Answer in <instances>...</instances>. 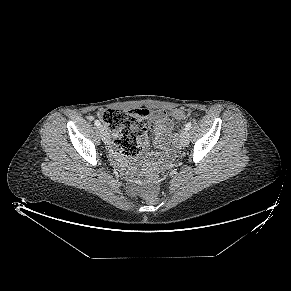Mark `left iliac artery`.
<instances>
[{
  "label": "left iliac artery",
  "instance_id": "left-iliac-artery-1",
  "mask_svg": "<svg viewBox=\"0 0 291 291\" xmlns=\"http://www.w3.org/2000/svg\"><path fill=\"white\" fill-rule=\"evenodd\" d=\"M191 122H188L186 125H185V130L188 131L190 128H191Z\"/></svg>",
  "mask_w": 291,
  "mask_h": 291
}]
</instances>
